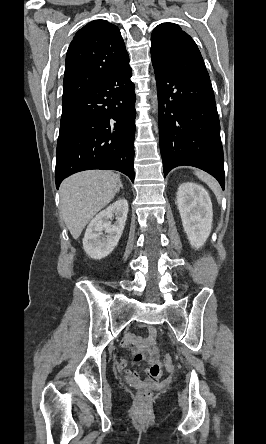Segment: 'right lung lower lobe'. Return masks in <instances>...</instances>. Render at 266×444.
Returning a JSON list of instances; mask_svg holds the SVG:
<instances>
[{"instance_id": "98d812e1", "label": "right lung lower lobe", "mask_w": 266, "mask_h": 444, "mask_svg": "<svg viewBox=\"0 0 266 444\" xmlns=\"http://www.w3.org/2000/svg\"><path fill=\"white\" fill-rule=\"evenodd\" d=\"M129 60L104 81L63 106L55 182L73 173L117 170L134 181L135 93Z\"/></svg>"}]
</instances>
